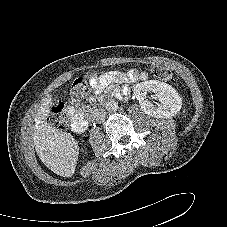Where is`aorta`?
I'll use <instances>...</instances> for the list:
<instances>
[{"label": "aorta", "mask_w": 227, "mask_h": 227, "mask_svg": "<svg viewBox=\"0 0 227 227\" xmlns=\"http://www.w3.org/2000/svg\"><path fill=\"white\" fill-rule=\"evenodd\" d=\"M105 108L109 112L116 111L118 109V103L115 100L110 99L106 102Z\"/></svg>", "instance_id": "1"}]
</instances>
